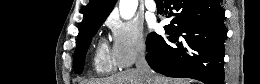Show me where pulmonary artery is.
Instances as JSON below:
<instances>
[{"instance_id":"obj_1","label":"pulmonary artery","mask_w":260,"mask_h":84,"mask_svg":"<svg viewBox=\"0 0 260 84\" xmlns=\"http://www.w3.org/2000/svg\"><path fill=\"white\" fill-rule=\"evenodd\" d=\"M146 8L151 11V12H155L157 10V5L155 3V1L153 0H147L145 2Z\"/></svg>"}]
</instances>
